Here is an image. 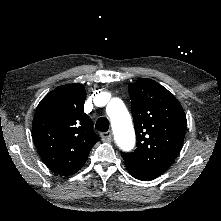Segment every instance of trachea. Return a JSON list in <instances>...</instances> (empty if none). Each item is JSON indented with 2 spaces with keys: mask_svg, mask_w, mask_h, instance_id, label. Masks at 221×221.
<instances>
[{
  "mask_svg": "<svg viewBox=\"0 0 221 221\" xmlns=\"http://www.w3.org/2000/svg\"><path fill=\"white\" fill-rule=\"evenodd\" d=\"M95 128L101 132H106L109 129V121L106 117H100L95 124Z\"/></svg>",
  "mask_w": 221,
  "mask_h": 221,
  "instance_id": "1",
  "label": "trachea"
}]
</instances>
